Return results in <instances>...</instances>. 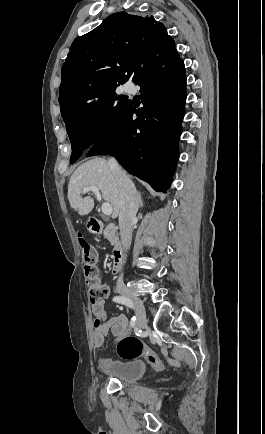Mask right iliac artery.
<instances>
[{
	"label": "right iliac artery",
	"mask_w": 265,
	"mask_h": 434,
	"mask_svg": "<svg viewBox=\"0 0 265 434\" xmlns=\"http://www.w3.org/2000/svg\"><path fill=\"white\" fill-rule=\"evenodd\" d=\"M113 301L116 302V303H120V304L126 305V306H128V307H130V308L133 307L131 301H129V300H128L127 298H125L124 296H114V297H113ZM135 322H136V317L133 316L132 319H131V321H130V325H131V327H134V326H135Z\"/></svg>",
	"instance_id": "obj_1"
}]
</instances>
